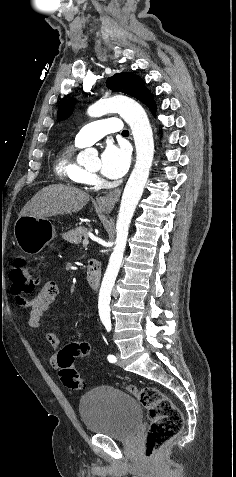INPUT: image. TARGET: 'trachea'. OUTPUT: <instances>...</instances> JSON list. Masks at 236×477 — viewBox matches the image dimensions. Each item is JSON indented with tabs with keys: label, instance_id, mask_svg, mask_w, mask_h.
I'll use <instances>...</instances> for the list:
<instances>
[{
	"label": "trachea",
	"instance_id": "1",
	"mask_svg": "<svg viewBox=\"0 0 236 477\" xmlns=\"http://www.w3.org/2000/svg\"><path fill=\"white\" fill-rule=\"evenodd\" d=\"M128 130H123L122 134H128Z\"/></svg>",
	"mask_w": 236,
	"mask_h": 477
}]
</instances>
